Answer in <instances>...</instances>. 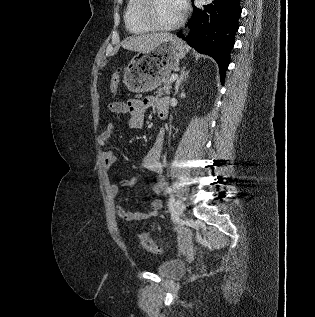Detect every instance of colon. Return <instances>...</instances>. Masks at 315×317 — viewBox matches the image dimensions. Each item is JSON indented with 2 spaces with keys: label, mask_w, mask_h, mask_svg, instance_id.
Instances as JSON below:
<instances>
[{
  "label": "colon",
  "mask_w": 315,
  "mask_h": 317,
  "mask_svg": "<svg viewBox=\"0 0 315 317\" xmlns=\"http://www.w3.org/2000/svg\"><path fill=\"white\" fill-rule=\"evenodd\" d=\"M119 73L114 74V76L111 79V91L116 92L118 85H119ZM139 241L142 245V247L153 254H158L161 252V248L156 244V242L147 234L141 233L139 235Z\"/></svg>",
  "instance_id": "1"
}]
</instances>
